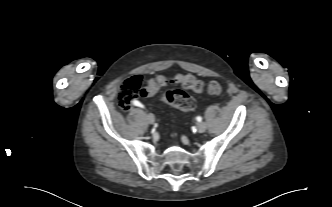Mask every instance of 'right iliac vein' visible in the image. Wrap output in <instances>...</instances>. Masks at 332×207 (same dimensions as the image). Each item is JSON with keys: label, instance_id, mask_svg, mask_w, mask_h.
<instances>
[{"label": "right iliac vein", "instance_id": "obj_1", "mask_svg": "<svg viewBox=\"0 0 332 207\" xmlns=\"http://www.w3.org/2000/svg\"><path fill=\"white\" fill-rule=\"evenodd\" d=\"M147 121L149 124H153L155 122V117L152 113L147 114Z\"/></svg>", "mask_w": 332, "mask_h": 207}]
</instances>
